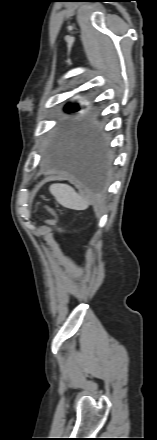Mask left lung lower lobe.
Masks as SVG:
<instances>
[{
	"instance_id": "left-lung-lower-lobe-1",
	"label": "left lung lower lobe",
	"mask_w": 157,
	"mask_h": 440,
	"mask_svg": "<svg viewBox=\"0 0 157 440\" xmlns=\"http://www.w3.org/2000/svg\"><path fill=\"white\" fill-rule=\"evenodd\" d=\"M108 166L103 137L96 132L77 136L73 149L63 162L65 169L96 189L104 184Z\"/></svg>"
}]
</instances>
